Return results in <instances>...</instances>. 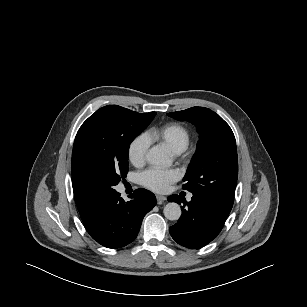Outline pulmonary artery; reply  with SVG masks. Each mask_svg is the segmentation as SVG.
I'll return each instance as SVG.
<instances>
[{"label":"pulmonary artery","mask_w":307,"mask_h":307,"mask_svg":"<svg viewBox=\"0 0 307 307\" xmlns=\"http://www.w3.org/2000/svg\"><path fill=\"white\" fill-rule=\"evenodd\" d=\"M191 198H192V196H191V195H189V196H188V200H191Z\"/></svg>","instance_id":"pulmonary-artery-1"}]
</instances>
